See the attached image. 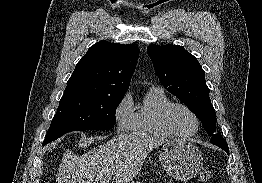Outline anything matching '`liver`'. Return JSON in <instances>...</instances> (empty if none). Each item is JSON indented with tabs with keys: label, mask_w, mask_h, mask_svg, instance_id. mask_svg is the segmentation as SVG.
Here are the masks:
<instances>
[{
	"label": "liver",
	"mask_w": 262,
	"mask_h": 183,
	"mask_svg": "<svg viewBox=\"0 0 262 183\" xmlns=\"http://www.w3.org/2000/svg\"><path fill=\"white\" fill-rule=\"evenodd\" d=\"M165 140L150 136L120 134L82 156L67 150L57 183H130L140 172L146 156Z\"/></svg>",
	"instance_id": "1"
}]
</instances>
